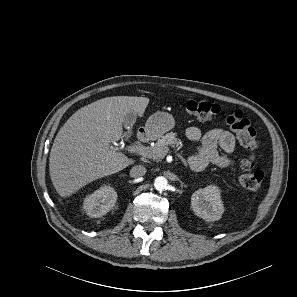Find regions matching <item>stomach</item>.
<instances>
[{"label":"stomach","instance_id":"obj_1","mask_svg":"<svg viewBox=\"0 0 297 297\" xmlns=\"http://www.w3.org/2000/svg\"><path fill=\"white\" fill-rule=\"evenodd\" d=\"M175 126L173 116L167 112L158 111L148 118L145 124L147 135L151 139H157Z\"/></svg>","mask_w":297,"mask_h":297}]
</instances>
